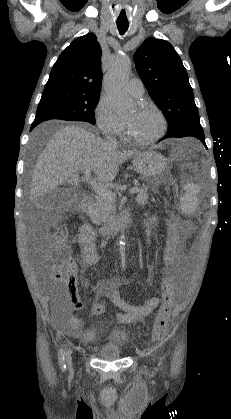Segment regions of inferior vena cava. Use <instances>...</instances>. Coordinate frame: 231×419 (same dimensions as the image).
<instances>
[{"mask_svg":"<svg viewBox=\"0 0 231 419\" xmlns=\"http://www.w3.org/2000/svg\"><path fill=\"white\" fill-rule=\"evenodd\" d=\"M106 140H107V144H108L109 148H111V149H117L118 148V143H117V140L115 139V137H113L111 135H106Z\"/></svg>","mask_w":231,"mask_h":419,"instance_id":"1","label":"inferior vena cava"}]
</instances>
